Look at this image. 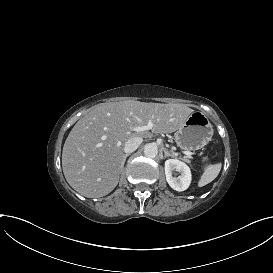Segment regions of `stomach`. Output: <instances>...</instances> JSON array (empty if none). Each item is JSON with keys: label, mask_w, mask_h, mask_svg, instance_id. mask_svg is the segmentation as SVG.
I'll list each match as a JSON object with an SVG mask.
<instances>
[{"label": "stomach", "mask_w": 273, "mask_h": 273, "mask_svg": "<svg viewBox=\"0 0 273 273\" xmlns=\"http://www.w3.org/2000/svg\"><path fill=\"white\" fill-rule=\"evenodd\" d=\"M214 134L213 127L207 116L200 112H192L180 127L174 139L177 146L183 150L195 151L207 145Z\"/></svg>", "instance_id": "0dacf381"}]
</instances>
